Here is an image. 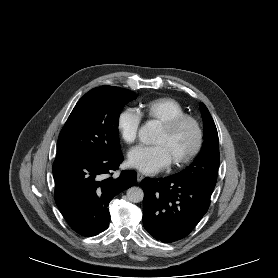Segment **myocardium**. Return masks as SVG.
<instances>
[{
	"instance_id": "obj_1",
	"label": "myocardium",
	"mask_w": 278,
	"mask_h": 278,
	"mask_svg": "<svg viewBox=\"0 0 278 278\" xmlns=\"http://www.w3.org/2000/svg\"><path fill=\"white\" fill-rule=\"evenodd\" d=\"M184 124H190L195 131V143L192 147V149L183 157L173 161L171 163V166L173 168H180L188 163H190L193 159L197 157V155L200 153L203 143H204V131L200 124V122L193 116L184 114L178 117L173 118L172 120H169L161 125L162 130L166 134H172L175 131H177L181 126Z\"/></svg>"
}]
</instances>
